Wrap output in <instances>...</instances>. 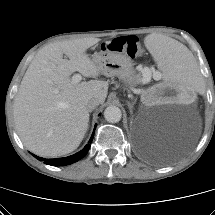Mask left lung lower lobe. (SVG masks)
<instances>
[{
  "label": "left lung lower lobe",
  "mask_w": 215,
  "mask_h": 215,
  "mask_svg": "<svg viewBox=\"0 0 215 215\" xmlns=\"http://www.w3.org/2000/svg\"><path fill=\"white\" fill-rule=\"evenodd\" d=\"M143 152L149 157H158L161 153L160 148H152V147H143Z\"/></svg>",
  "instance_id": "0a47b994"
}]
</instances>
